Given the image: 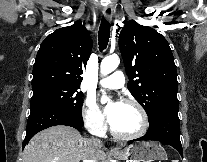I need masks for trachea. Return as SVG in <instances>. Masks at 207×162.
I'll use <instances>...</instances> for the list:
<instances>
[{"label":"trachea","instance_id":"1","mask_svg":"<svg viewBox=\"0 0 207 162\" xmlns=\"http://www.w3.org/2000/svg\"><path fill=\"white\" fill-rule=\"evenodd\" d=\"M110 37V26L104 19L101 21L99 33H98V40H99V49L103 51L106 49L108 45Z\"/></svg>","mask_w":207,"mask_h":162}]
</instances>
